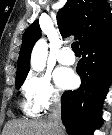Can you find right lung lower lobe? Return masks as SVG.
I'll return each mask as SVG.
<instances>
[{
  "instance_id": "98d812e1",
  "label": "right lung lower lobe",
  "mask_w": 112,
  "mask_h": 135,
  "mask_svg": "<svg viewBox=\"0 0 112 135\" xmlns=\"http://www.w3.org/2000/svg\"><path fill=\"white\" fill-rule=\"evenodd\" d=\"M77 65L81 85L61 97V117L69 135H93L102 124L101 109L112 83V32L81 47Z\"/></svg>"
}]
</instances>
